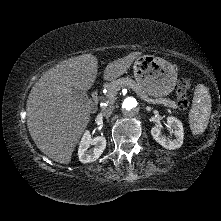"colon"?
Returning <instances> with one entry per match:
<instances>
[{"instance_id": "obj_1", "label": "colon", "mask_w": 221, "mask_h": 221, "mask_svg": "<svg viewBox=\"0 0 221 221\" xmlns=\"http://www.w3.org/2000/svg\"><path fill=\"white\" fill-rule=\"evenodd\" d=\"M190 83L187 80H180L177 85V102L180 108L186 109L190 104Z\"/></svg>"}]
</instances>
